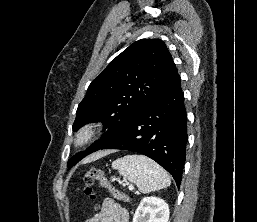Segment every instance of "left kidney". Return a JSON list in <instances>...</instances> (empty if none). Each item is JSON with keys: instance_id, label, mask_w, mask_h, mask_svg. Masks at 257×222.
<instances>
[{"instance_id": "1", "label": "left kidney", "mask_w": 257, "mask_h": 222, "mask_svg": "<svg viewBox=\"0 0 257 222\" xmlns=\"http://www.w3.org/2000/svg\"><path fill=\"white\" fill-rule=\"evenodd\" d=\"M168 204L155 196L144 197L133 217V222H168Z\"/></svg>"}]
</instances>
